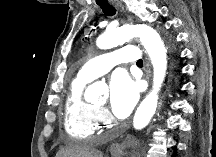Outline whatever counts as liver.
Segmentation results:
<instances>
[{
    "instance_id": "liver-1",
    "label": "liver",
    "mask_w": 216,
    "mask_h": 157,
    "mask_svg": "<svg viewBox=\"0 0 216 157\" xmlns=\"http://www.w3.org/2000/svg\"><path fill=\"white\" fill-rule=\"evenodd\" d=\"M57 157H102V153L90 148L85 143L75 142L61 150Z\"/></svg>"
}]
</instances>
